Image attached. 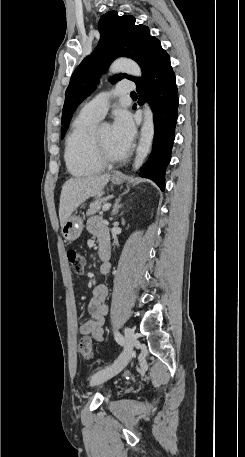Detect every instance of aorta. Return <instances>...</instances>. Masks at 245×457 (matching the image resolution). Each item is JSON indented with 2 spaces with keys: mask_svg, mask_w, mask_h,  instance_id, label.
I'll list each match as a JSON object with an SVG mask.
<instances>
[{
  "mask_svg": "<svg viewBox=\"0 0 245 457\" xmlns=\"http://www.w3.org/2000/svg\"><path fill=\"white\" fill-rule=\"evenodd\" d=\"M110 73L118 72L127 73L132 76L140 77L142 75L139 65L131 59H118L114 61L109 69ZM154 138V120L153 112L150 106L144 104V122L141 128L140 140L136 150V157L133 163V169L138 170L146 159Z\"/></svg>",
  "mask_w": 245,
  "mask_h": 457,
  "instance_id": "aorta-1",
  "label": "aorta"
}]
</instances>
